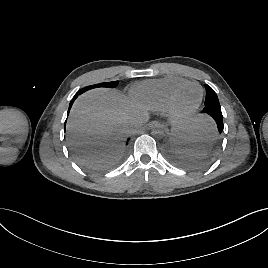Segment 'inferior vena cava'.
<instances>
[{"instance_id":"602c4592","label":"inferior vena cava","mask_w":268,"mask_h":268,"mask_svg":"<svg viewBox=\"0 0 268 268\" xmlns=\"http://www.w3.org/2000/svg\"><path fill=\"white\" fill-rule=\"evenodd\" d=\"M140 126V121H135V123L133 124V127L131 128V131L132 132H135L136 131V128Z\"/></svg>"}]
</instances>
